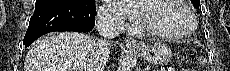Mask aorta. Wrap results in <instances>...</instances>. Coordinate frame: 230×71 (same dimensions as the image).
I'll list each match as a JSON object with an SVG mask.
<instances>
[{"instance_id": "1", "label": "aorta", "mask_w": 230, "mask_h": 71, "mask_svg": "<svg viewBox=\"0 0 230 71\" xmlns=\"http://www.w3.org/2000/svg\"><path fill=\"white\" fill-rule=\"evenodd\" d=\"M118 71H132V62L130 59L123 61L121 66L118 68Z\"/></svg>"}]
</instances>
